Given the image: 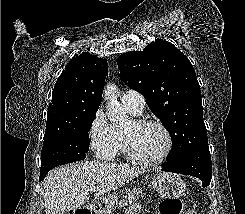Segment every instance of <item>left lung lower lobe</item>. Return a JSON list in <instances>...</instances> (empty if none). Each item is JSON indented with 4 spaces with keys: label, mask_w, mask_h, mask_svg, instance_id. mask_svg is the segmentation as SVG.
<instances>
[{
    "label": "left lung lower lobe",
    "mask_w": 245,
    "mask_h": 214,
    "mask_svg": "<svg viewBox=\"0 0 245 214\" xmlns=\"http://www.w3.org/2000/svg\"><path fill=\"white\" fill-rule=\"evenodd\" d=\"M162 170L191 175L202 181V186L210 184L212 177L211 156L208 146L194 148L176 158L166 160Z\"/></svg>",
    "instance_id": "obj_1"
}]
</instances>
